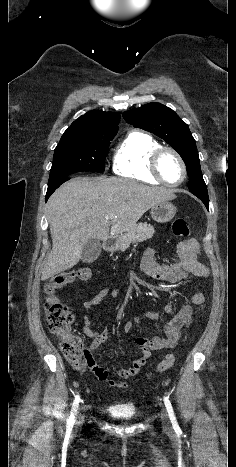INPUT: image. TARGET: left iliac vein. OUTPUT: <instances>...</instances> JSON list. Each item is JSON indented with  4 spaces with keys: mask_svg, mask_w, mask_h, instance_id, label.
Returning <instances> with one entry per match:
<instances>
[{
    "mask_svg": "<svg viewBox=\"0 0 236 467\" xmlns=\"http://www.w3.org/2000/svg\"><path fill=\"white\" fill-rule=\"evenodd\" d=\"M161 419H162V422L165 426L169 427L170 426V421H169V415H168V412L165 408H162V411H161Z\"/></svg>",
    "mask_w": 236,
    "mask_h": 467,
    "instance_id": "left-iliac-vein-1",
    "label": "left iliac vein"
}]
</instances>
